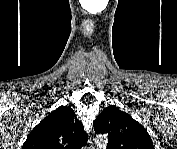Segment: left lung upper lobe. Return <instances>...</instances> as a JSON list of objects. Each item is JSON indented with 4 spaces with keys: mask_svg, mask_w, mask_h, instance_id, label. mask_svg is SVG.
<instances>
[{
    "mask_svg": "<svg viewBox=\"0 0 177 149\" xmlns=\"http://www.w3.org/2000/svg\"><path fill=\"white\" fill-rule=\"evenodd\" d=\"M93 126L95 132L108 134V149H154L146 129L113 105L102 111Z\"/></svg>",
    "mask_w": 177,
    "mask_h": 149,
    "instance_id": "5c2ea615",
    "label": "left lung upper lobe"
}]
</instances>
